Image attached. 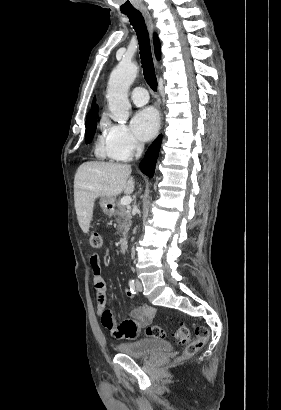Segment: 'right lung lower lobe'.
I'll list each match as a JSON object with an SVG mask.
<instances>
[{
	"label": "right lung lower lobe",
	"instance_id": "right-lung-lower-lobe-1",
	"mask_svg": "<svg viewBox=\"0 0 281 410\" xmlns=\"http://www.w3.org/2000/svg\"><path fill=\"white\" fill-rule=\"evenodd\" d=\"M161 140L162 136L160 135L148 148L144 159L140 163L141 171L149 177H152L154 175L155 164L158 158Z\"/></svg>",
	"mask_w": 281,
	"mask_h": 410
}]
</instances>
